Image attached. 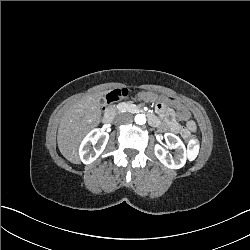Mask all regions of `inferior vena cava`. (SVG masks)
<instances>
[{"instance_id": "1", "label": "inferior vena cava", "mask_w": 250, "mask_h": 250, "mask_svg": "<svg viewBox=\"0 0 250 250\" xmlns=\"http://www.w3.org/2000/svg\"><path fill=\"white\" fill-rule=\"evenodd\" d=\"M133 122V115L131 113H121L115 118V123L118 125H128Z\"/></svg>"}]
</instances>
